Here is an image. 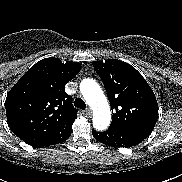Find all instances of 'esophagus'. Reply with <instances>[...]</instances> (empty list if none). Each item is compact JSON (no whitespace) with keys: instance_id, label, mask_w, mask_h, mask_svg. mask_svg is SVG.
Wrapping results in <instances>:
<instances>
[{"instance_id":"1","label":"esophagus","mask_w":182,"mask_h":182,"mask_svg":"<svg viewBox=\"0 0 182 182\" xmlns=\"http://www.w3.org/2000/svg\"><path fill=\"white\" fill-rule=\"evenodd\" d=\"M84 115H85L86 117H91V116H92V111H91V109L85 110V111H84Z\"/></svg>"}]
</instances>
